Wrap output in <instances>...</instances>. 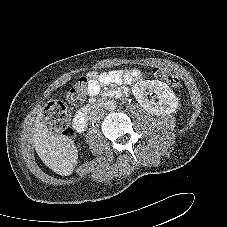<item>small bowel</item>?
Masks as SVG:
<instances>
[{"instance_id": "c3829d8e", "label": "small bowel", "mask_w": 227, "mask_h": 227, "mask_svg": "<svg viewBox=\"0 0 227 227\" xmlns=\"http://www.w3.org/2000/svg\"><path fill=\"white\" fill-rule=\"evenodd\" d=\"M140 72L130 70H114L105 73H98L95 71L87 74L89 83V95H96L101 85H107L110 83H130L140 77Z\"/></svg>"}]
</instances>
